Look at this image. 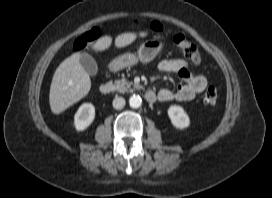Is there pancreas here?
I'll return each mask as SVG.
<instances>
[{"instance_id": "obj_1", "label": "pancreas", "mask_w": 272, "mask_h": 198, "mask_svg": "<svg viewBox=\"0 0 272 198\" xmlns=\"http://www.w3.org/2000/svg\"><path fill=\"white\" fill-rule=\"evenodd\" d=\"M134 86V88L136 89H140L141 86L138 84H134L130 81H128L127 79L123 78L121 80H116L114 83L115 89L117 91H119L120 93H125L128 92L129 90L132 91L131 86Z\"/></svg>"}]
</instances>
